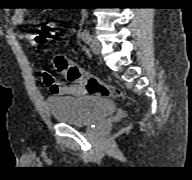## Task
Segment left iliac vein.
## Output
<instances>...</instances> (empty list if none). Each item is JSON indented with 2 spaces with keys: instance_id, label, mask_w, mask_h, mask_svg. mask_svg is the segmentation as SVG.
<instances>
[{
  "instance_id": "left-iliac-vein-1",
  "label": "left iliac vein",
  "mask_w": 192,
  "mask_h": 180,
  "mask_svg": "<svg viewBox=\"0 0 192 180\" xmlns=\"http://www.w3.org/2000/svg\"><path fill=\"white\" fill-rule=\"evenodd\" d=\"M88 44H89V46H90V48L94 54L98 55L100 53L101 43L99 42V40L95 36H93V35L90 36Z\"/></svg>"
}]
</instances>
